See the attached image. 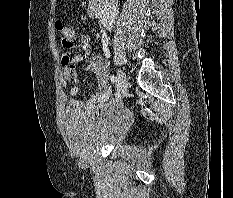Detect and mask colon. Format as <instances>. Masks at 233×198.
<instances>
[{"label": "colon", "mask_w": 233, "mask_h": 198, "mask_svg": "<svg viewBox=\"0 0 233 198\" xmlns=\"http://www.w3.org/2000/svg\"><path fill=\"white\" fill-rule=\"evenodd\" d=\"M57 30L61 34L62 45L66 48H71L75 45L76 37L72 29L63 25L61 21L56 23Z\"/></svg>", "instance_id": "1"}]
</instances>
